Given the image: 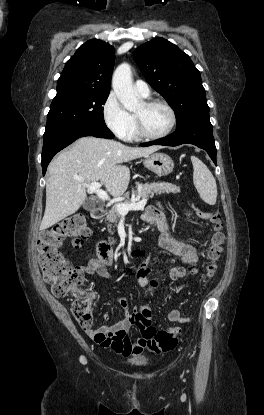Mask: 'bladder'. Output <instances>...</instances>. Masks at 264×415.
<instances>
[{"label": "bladder", "mask_w": 264, "mask_h": 415, "mask_svg": "<svg viewBox=\"0 0 264 415\" xmlns=\"http://www.w3.org/2000/svg\"><path fill=\"white\" fill-rule=\"evenodd\" d=\"M129 363L132 365H136V366H146L148 364V361L145 358H140V359L131 360Z\"/></svg>", "instance_id": "bladder-1"}]
</instances>
